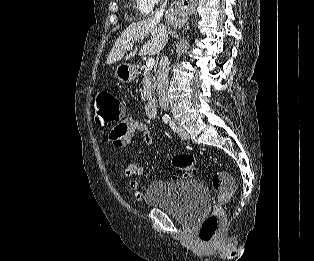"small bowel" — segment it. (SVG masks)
<instances>
[{"mask_svg": "<svg viewBox=\"0 0 314 261\" xmlns=\"http://www.w3.org/2000/svg\"><path fill=\"white\" fill-rule=\"evenodd\" d=\"M122 129H113L112 133H106V140H112L113 144L118 147L126 146L132 139L135 133L141 134L146 146L153 145V138L149 127L133 118H128L119 125ZM144 167L134 163H128L124 168V173L131 178L128 182L129 190L133 193L134 199L140 201L143 198V193L139 190V183L135 177L146 174Z\"/></svg>", "mask_w": 314, "mask_h": 261, "instance_id": "1", "label": "small bowel"}]
</instances>
